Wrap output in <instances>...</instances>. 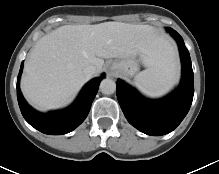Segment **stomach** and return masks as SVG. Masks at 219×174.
<instances>
[{"mask_svg":"<svg viewBox=\"0 0 219 174\" xmlns=\"http://www.w3.org/2000/svg\"><path fill=\"white\" fill-rule=\"evenodd\" d=\"M112 68L123 76L131 77L139 70V63L136 55L112 62Z\"/></svg>","mask_w":219,"mask_h":174,"instance_id":"1","label":"stomach"}]
</instances>
